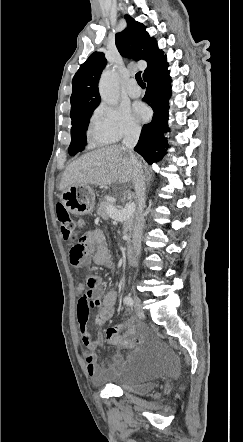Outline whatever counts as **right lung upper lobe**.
Here are the masks:
<instances>
[{"label":"right lung upper lobe","mask_w":243,"mask_h":442,"mask_svg":"<svg viewBox=\"0 0 243 442\" xmlns=\"http://www.w3.org/2000/svg\"><path fill=\"white\" fill-rule=\"evenodd\" d=\"M125 19L127 28L116 34L115 43L122 56L147 62L144 76L162 60L163 52L158 49L156 40L149 36L142 23L129 15H126ZM106 62L103 52H94L74 75L70 98L72 120L84 112L94 110L100 103L98 81Z\"/></svg>","instance_id":"obj_1"}]
</instances>
